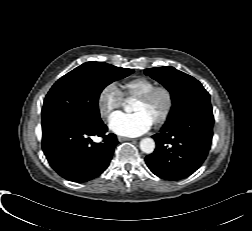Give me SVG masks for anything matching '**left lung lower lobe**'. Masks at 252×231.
I'll list each match as a JSON object with an SVG mask.
<instances>
[{
  "label": "left lung lower lobe",
  "instance_id": "1",
  "mask_svg": "<svg viewBox=\"0 0 252 231\" xmlns=\"http://www.w3.org/2000/svg\"><path fill=\"white\" fill-rule=\"evenodd\" d=\"M213 123L212 108L191 109L166 123L160 133L153 135L156 149L145 158L149 169L166 180L191 175L208 154Z\"/></svg>",
  "mask_w": 252,
  "mask_h": 231
}]
</instances>
